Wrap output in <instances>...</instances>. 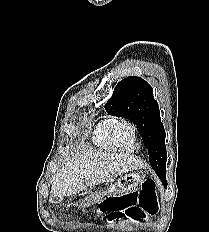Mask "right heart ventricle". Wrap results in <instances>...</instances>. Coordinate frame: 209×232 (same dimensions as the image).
Segmentation results:
<instances>
[{
	"mask_svg": "<svg viewBox=\"0 0 209 232\" xmlns=\"http://www.w3.org/2000/svg\"><path fill=\"white\" fill-rule=\"evenodd\" d=\"M119 118L115 116H107L104 117L97 125L93 141L94 143L101 149L107 150V151H119L121 150L113 141L111 136V128L113 124H115ZM135 147L132 151L136 150L138 147V144L136 140H134Z\"/></svg>",
	"mask_w": 209,
	"mask_h": 232,
	"instance_id": "right-heart-ventricle-1",
	"label": "right heart ventricle"
}]
</instances>
